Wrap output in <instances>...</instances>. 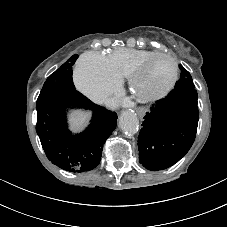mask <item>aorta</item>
Here are the masks:
<instances>
[{
	"label": "aorta",
	"mask_w": 227,
	"mask_h": 227,
	"mask_svg": "<svg viewBox=\"0 0 227 227\" xmlns=\"http://www.w3.org/2000/svg\"><path fill=\"white\" fill-rule=\"evenodd\" d=\"M119 126L126 134H134L138 131L139 120L137 115L130 110L122 112L119 118Z\"/></svg>",
	"instance_id": "aorta-1"
}]
</instances>
